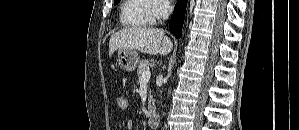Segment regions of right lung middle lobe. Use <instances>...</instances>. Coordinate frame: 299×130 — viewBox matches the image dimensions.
Instances as JSON below:
<instances>
[{"label":"right lung middle lobe","mask_w":299,"mask_h":130,"mask_svg":"<svg viewBox=\"0 0 299 130\" xmlns=\"http://www.w3.org/2000/svg\"><path fill=\"white\" fill-rule=\"evenodd\" d=\"M120 2V0H118V1H116V2H114V4L116 5L117 3H119Z\"/></svg>","instance_id":"dd1d6c3e"}]
</instances>
